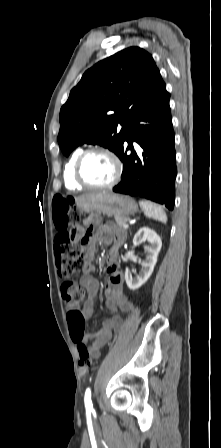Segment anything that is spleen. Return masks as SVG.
<instances>
[{
  "mask_svg": "<svg viewBox=\"0 0 221 448\" xmlns=\"http://www.w3.org/2000/svg\"><path fill=\"white\" fill-rule=\"evenodd\" d=\"M140 206L142 207L146 217L160 221L162 223L167 222L166 213L160 205H157V204L151 203V202L142 201V202H140Z\"/></svg>",
  "mask_w": 221,
  "mask_h": 448,
  "instance_id": "obj_1",
  "label": "spleen"
}]
</instances>
